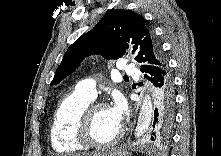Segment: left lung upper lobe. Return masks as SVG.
Segmentation results:
<instances>
[{"instance_id": "left-lung-upper-lobe-1", "label": "left lung upper lobe", "mask_w": 221, "mask_h": 156, "mask_svg": "<svg viewBox=\"0 0 221 156\" xmlns=\"http://www.w3.org/2000/svg\"><path fill=\"white\" fill-rule=\"evenodd\" d=\"M130 41L132 54H136L135 60L142 63V71L166 62L145 19L132 11L116 9L107 13L92 30L67 49L51 85L72 73L86 56L101 54L108 60L122 57Z\"/></svg>"}]
</instances>
